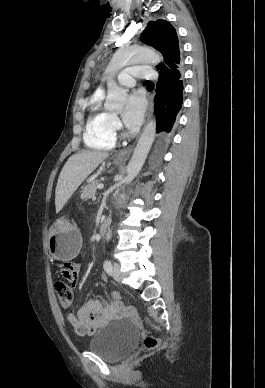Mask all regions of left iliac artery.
<instances>
[{"label":"left iliac artery","mask_w":265,"mask_h":388,"mask_svg":"<svg viewBox=\"0 0 265 388\" xmlns=\"http://www.w3.org/2000/svg\"><path fill=\"white\" fill-rule=\"evenodd\" d=\"M103 266H104V269L107 273L112 272V263L110 260H105Z\"/></svg>","instance_id":"left-iliac-artery-1"}]
</instances>
